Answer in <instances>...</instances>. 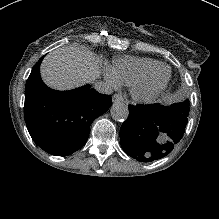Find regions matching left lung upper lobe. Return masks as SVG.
Listing matches in <instances>:
<instances>
[{
	"mask_svg": "<svg viewBox=\"0 0 219 219\" xmlns=\"http://www.w3.org/2000/svg\"><path fill=\"white\" fill-rule=\"evenodd\" d=\"M189 106H190L189 101L186 100L184 102L172 104L170 107L175 108L184 114H188L189 113Z\"/></svg>",
	"mask_w": 219,
	"mask_h": 219,
	"instance_id": "5c2ea615",
	"label": "left lung upper lobe"
}]
</instances>
